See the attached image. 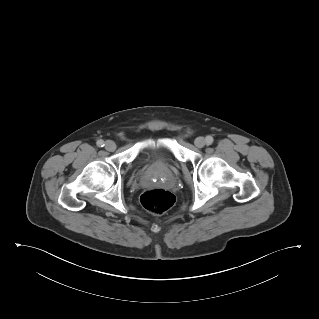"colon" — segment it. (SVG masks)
I'll list each match as a JSON object with an SVG mask.
<instances>
[{
	"mask_svg": "<svg viewBox=\"0 0 319 319\" xmlns=\"http://www.w3.org/2000/svg\"><path fill=\"white\" fill-rule=\"evenodd\" d=\"M140 202L149 213L161 215L172 208L175 203V196L168 190L149 189L142 193Z\"/></svg>",
	"mask_w": 319,
	"mask_h": 319,
	"instance_id": "1",
	"label": "colon"
}]
</instances>
